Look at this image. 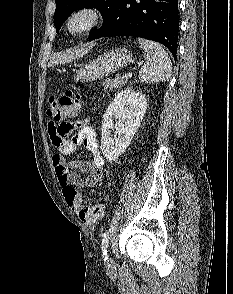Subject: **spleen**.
<instances>
[{"mask_svg":"<svg viewBox=\"0 0 233 294\" xmlns=\"http://www.w3.org/2000/svg\"><path fill=\"white\" fill-rule=\"evenodd\" d=\"M144 49L146 63L139 71V79L143 83L167 81L171 77L172 64L168 53L159 43L138 38Z\"/></svg>","mask_w":233,"mask_h":294,"instance_id":"spleen-1","label":"spleen"}]
</instances>
